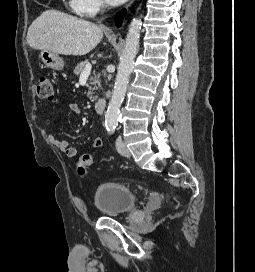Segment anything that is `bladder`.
<instances>
[{
  "label": "bladder",
  "instance_id": "bladder-1",
  "mask_svg": "<svg viewBox=\"0 0 255 272\" xmlns=\"http://www.w3.org/2000/svg\"><path fill=\"white\" fill-rule=\"evenodd\" d=\"M93 202L99 213L106 216H119L135 207L136 196L119 182H108L96 187Z\"/></svg>",
  "mask_w": 255,
  "mask_h": 272
}]
</instances>
